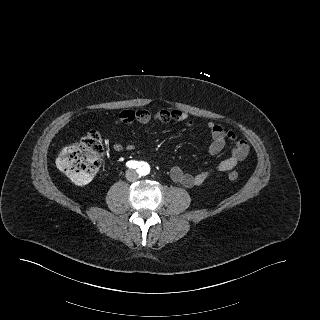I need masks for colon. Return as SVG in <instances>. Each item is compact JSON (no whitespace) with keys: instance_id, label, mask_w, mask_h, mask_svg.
I'll return each instance as SVG.
<instances>
[{"instance_id":"1","label":"colon","mask_w":320,"mask_h":320,"mask_svg":"<svg viewBox=\"0 0 320 320\" xmlns=\"http://www.w3.org/2000/svg\"><path fill=\"white\" fill-rule=\"evenodd\" d=\"M104 154L101 136L96 131L87 132L79 142L64 147L58 154V168L73 182L86 184L95 175ZM231 181L238 179V173H228Z\"/></svg>"}]
</instances>
